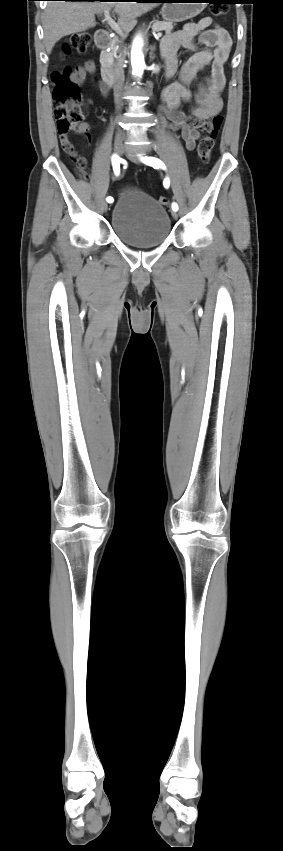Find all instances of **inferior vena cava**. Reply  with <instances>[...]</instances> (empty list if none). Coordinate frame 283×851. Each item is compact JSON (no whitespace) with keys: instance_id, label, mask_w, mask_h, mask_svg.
Segmentation results:
<instances>
[{"instance_id":"inferior-vena-cava-1","label":"inferior vena cava","mask_w":283,"mask_h":851,"mask_svg":"<svg viewBox=\"0 0 283 851\" xmlns=\"http://www.w3.org/2000/svg\"><path fill=\"white\" fill-rule=\"evenodd\" d=\"M114 98H115V106L116 110L119 111L122 106L121 94L124 83V74L122 64L119 63L115 66L114 72Z\"/></svg>"}]
</instances>
